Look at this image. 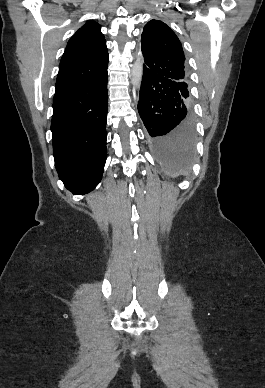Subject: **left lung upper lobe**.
I'll return each mask as SVG.
<instances>
[{"label":"left lung upper lobe","instance_id":"1","mask_svg":"<svg viewBox=\"0 0 265 388\" xmlns=\"http://www.w3.org/2000/svg\"><path fill=\"white\" fill-rule=\"evenodd\" d=\"M142 53L148 69L183 86L184 100L191 105L188 75L181 42L165 23L151 20L144 26L141 37Z\"/></svg>","mask_w":265,"mask_h":388}]
</instances>
